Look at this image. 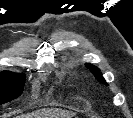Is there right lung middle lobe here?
<instances>
[{
	"mask_svg": "<svg viewBox=\"0 0 133 118\" xmlns=\"http://www.w3.org/2000/svg\"><path fill=\"white\" fill-rule=\"evenodd\" d=\"M24 84V74L2 72L0 78V104L19 97L23 92Z\"/></svg>",
	"mask_w": 133,
	"mask_h": 118,
	"instance_id": "1",
	"label": "right lung middle lobe"
}]
</instances>
